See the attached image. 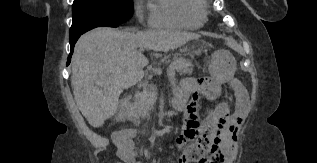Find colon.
Segmentation results:
<instances>
[{"instance_id": "1", "label": "colon", "mask_w": 317, "mask_h": 163, "mask_svg": "<svg viewBox=\"0 0 317 163\" xmlns=\"http://www.w3.org/2000/svg\"><path fill=\"white\" fill-rule=\"evenodd\" d=\"M235 91H236V98H237V103H241L245 100V98H248V94L246 89L239 83L235 84ZM216 122V117L213 114H210L207 118L206 121V126L209 128H213Z\"/></svg>"}]
</instances>
